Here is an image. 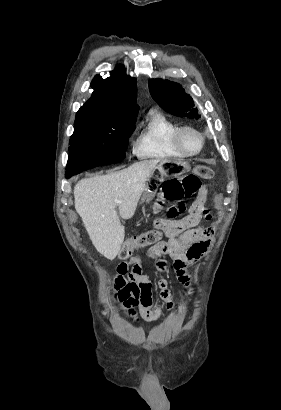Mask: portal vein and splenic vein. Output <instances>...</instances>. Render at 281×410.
<instances>
[{
    "label": "portal vein and splenic vein",
    "mask_w": 281,
    "mask_h": 410,
    "mask_svg": "<svg viewBox=\"0 0 281 410\" xmlns=\"http://www.w3.org/2000/svg\"><path fill=\"white\" fill-rule=\"evenodd\" d=\"M115 203H116V204H120V203H122V201L116 200Z\"/></svg>",
    "instance_id": "1"
}]
</instances>
